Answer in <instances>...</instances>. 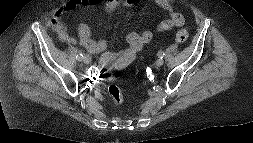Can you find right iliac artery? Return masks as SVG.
Listing matches in <instances>:
<instances>
[{
    "label": "right iliac artery",
    "instance_id": "obj_1",
    "mask_svg": "<svg viewBox=\"0 0 253 143\" xmlns=\"http://www.w3.org/2000/svg\"><path fill=\"white\" fill-rule=\"evenodd\" d=\"M83 57H84V54L79 53L76 58H77L78 61H82Z\"/></svg>",
    "mask_w": 253,
    "mask_h": 143
}]
</instances>
